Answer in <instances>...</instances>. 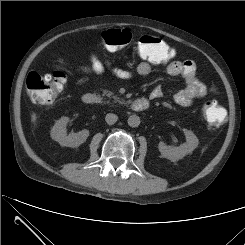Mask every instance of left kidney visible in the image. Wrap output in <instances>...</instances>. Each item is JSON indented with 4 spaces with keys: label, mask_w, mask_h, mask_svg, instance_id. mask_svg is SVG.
Masks as SVG:
<instances>
[{
    "label": "left kidney",
    "mask_w": 245,
    "mask_h": 245,
    "mask_svg": "<svg viewBox=\"0 0 245 245\" xmlns=\"http://www.w3.org/2000/svg\"><path fill=\"white\" fill-rule=\"evenodd\" d=\"M183 132L186 137V142L179 147L167 146L164 142H159L158 148L162 157L176 161L182 159L185 155L197 148L199 140L196 135L187 129H183Z\"/></svg>",
    "instance_id": "5707ae66"
}]
</instances>
